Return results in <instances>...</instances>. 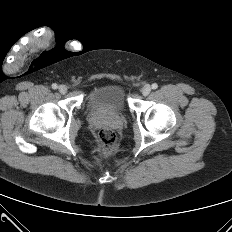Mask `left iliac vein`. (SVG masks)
Returning <instances> with one entry per match:
<instances>
[{"label":"left iliac vein","instance_id":"1","mask_svg":"<svg viewBox=\"0 0 232 232\" xmlns=\"http://www.w3.org/2000/svg\"><path fill=\"white\" fill-rule=\"evenodd\" d=\"M141 92L144 96L149 95V93L151 92V86L149 84H146L142 87Z\"/></svg>","mask_w":232,"mask_h":232}]
</instances>
